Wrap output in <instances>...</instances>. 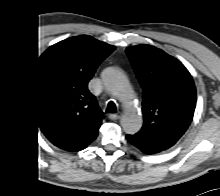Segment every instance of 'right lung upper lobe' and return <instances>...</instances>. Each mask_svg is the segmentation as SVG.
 Returning a JSON list of instances; mask_svg holds the SVG:
<instances>
[{
	"label": "right lung upper lobe",
	"mask_w": 220,
	"mask_h": 196,
	"mask_svg": "<svg viewBox=\"0 0 220 196\" xmlns=\"http://www.w3.org/2000/svg\"><path fill=\"white\" fill-rule=\"evenodd\" d=\"M114 49L82 35L51 46L40 57L32 82L33 108L42 131L58 147L79 150L96 138L104 116L87 84Z\"/></svg>",
	"instance_id": "1"
}]
</instances>
